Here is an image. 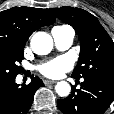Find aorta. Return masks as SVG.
I'll return each instance as SVG.
<instances>
[{"instance_id": "762f6f07", "label": "aorta", "mask_w": 114, "mask_h": 114, "mask_svg": "<svg viewBox=\"0 0 114 114\" xmlns=\"http://www.w3.org/2000/svg\"><path fill=\"white\" fill-rule=\"evenodd\" d=\"M31 48L38 55H46L53 48L52 37L45 32H37L31 39ZM56 93L61 97H66L70 94L71 86L65 81L58 82L55 86Z\"/></svg>"}]
</instances>
